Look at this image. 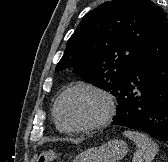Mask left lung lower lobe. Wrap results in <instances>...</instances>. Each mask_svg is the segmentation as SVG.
<instances>
[{"label":"left lung lower lobe","instance_id":"obj_1","mask_svg":"<svg viewBox=\"0 0 168 162\" xmlns=\"http://www.w3.org/2000/svg\"><path fill=\"white\" fill-rule=\"evenodd\" d=\"M114 96L112 125L143 131L168 145V22L133 63Z\"/></svg>","mask_w":168,"mask_h":162}]
</instances>
